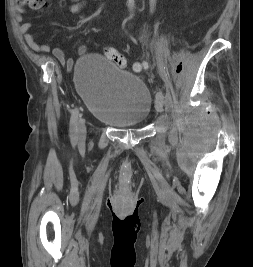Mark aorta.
<instances>
[{
	"mask_svg": "<svg viewBox=\"0 0 253 267\" xmlns=\"http://www.w3.org/2000/svg\"><path fill=\"white\" fill-rule=\"evenodd\" d=\"M127 4L129 12H133L134 0H128Z\"/></svg>",
	"mask_w": 253,
	"mask_h": 267,
	"instance_id": "aorta-1",
	"label": "aorta"
}]
</instances>
